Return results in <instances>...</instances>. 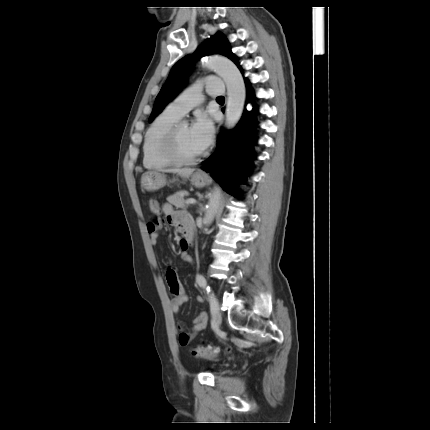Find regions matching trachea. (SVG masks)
Segmentation results:
<instances>
[{"label":"trachea","instance_id":"obj_1","mask_svg":"<svg viewBox=\"0 0 430 430\" xmlns=\"http://www.w3.org/2000/svg\"><path fill=\"white\" fill-rule=\"evenodd\" d=\"M217 100H224L223 96L217 97Z\"/></svg>","mask_w":430,"mask_h":430}]
</instances>
